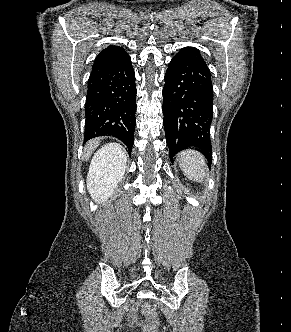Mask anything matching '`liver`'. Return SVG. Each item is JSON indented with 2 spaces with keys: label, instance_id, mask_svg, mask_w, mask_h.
<instances>
[{
  "label": "liver",
  "instance_id": "liver-1",
  "mask_svg": "<svg viewBox=\"0 0 291 332\" xmlns=\"http://www.w3.org/2000/svg\"><path fill=\"white\" fill-rule=\"evenodd\" d=\"M100 144V139L95 138L87 142L85 148H84V153H83V159L84 160H89L92 152L99 146ZM124 155L126 156V151L122 148Z\"/></svg>",
  "mask_w": 291,
  "mask_h": 332
}]
</instances>
